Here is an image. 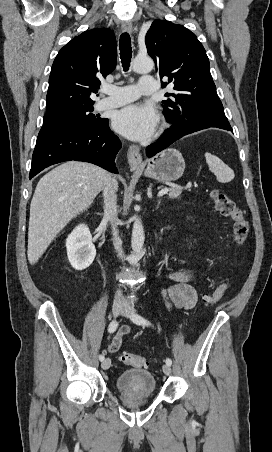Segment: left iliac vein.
Returning <instances> with one entry per match:
<instances>
[{
	"label": "left iliac vein",
	"instance_id": "4c4485c4",
	"mask_svg": "<svg viewBox=\"0 0 272 452\" xmlns=\"http://www.w3.org/2000/svg\"><path fill=\"white\" fill-rule=\"evenodd\" d=\"M135 313L134 308H132L129 304H124L122 310H121V314L127 318H132L133 314ZM163 372L165 375L170 376L172 373V369L171 366L168 364H164L163 365Z\"/></svg>",
	"mask_w": 272,
	"mask_h": 452
}]
</instances>
